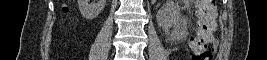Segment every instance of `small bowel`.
Segmentation results:
<instances>
[{
  "instance_id": "c3829d8e",
  "label": "small bowel",
  "mask_w": 267,
  "mask_h": 60,
  "mask_svg": "<svg viewBox=\"0 0 267 60\" xmlns=\"http://www.w3.org/2000/svg\"><path fill=\"white\" fill-rule=\"evenodd\" d=\"M216 29V24H214L213 28L209 32V43L212 44L213 49H215L218 45V40L214 37L213 32Z\"/></svg>"
}]
</instances>
